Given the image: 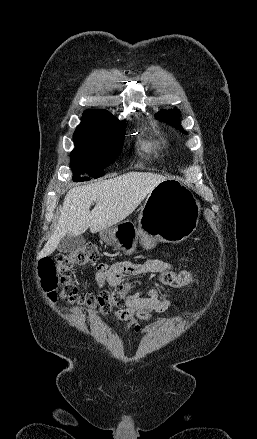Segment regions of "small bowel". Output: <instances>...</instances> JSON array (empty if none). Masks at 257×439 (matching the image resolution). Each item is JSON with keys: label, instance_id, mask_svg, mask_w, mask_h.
<instances>
[{"label": "small bowel", "instance_id": "small-bowel-1", "mask_svg": "<svg viewBox=\"0 0 257 439\" xmlns=\"http://www.w3.org/2000/svg\"><path fill=\"white\" fill-rule=\"evenodd\" d=\"M163 259H152L145 263H134L131 261H120L111 266L99 264L96 268L95 279L99 287L105 284L114 288L121 283L122 275L141 276L145 274L173 272L174 265L168 260L172 254L162 253ZM170 301L166 294H160L156 289H150L145 295H130L125 308L113 312L111 320L126 321L125 333L146 334L150 328H142L138 320H151L153 313H161L168 309Z\"/></svg>", "mask_w": 257, "mask_h": 439}]
</instances>
